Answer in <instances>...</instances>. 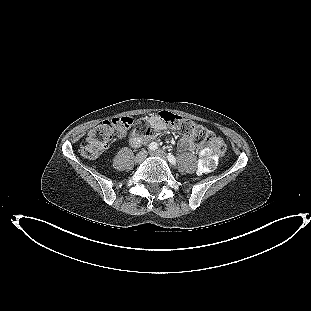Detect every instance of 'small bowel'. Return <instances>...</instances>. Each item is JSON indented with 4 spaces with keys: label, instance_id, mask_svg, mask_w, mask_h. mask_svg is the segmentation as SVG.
Instances as JSON below:
<instances>
[{
    "label": "small bowel",
    "instance_id": "1",
    "mask_svg": "<svg viewBox=\"0 0 311 311\" xmlns=\"http://www.w3.org/2000/svg\"><path fill=\"white\" fill-rule=\"evenodd\" d=\"M145 120L147 123L150 124L154 132H160L166 128V125L164 124V122L158 115H150L146 117ZM142 141H143V138L140 134H136L131 138V143L134 146L140 145ZM179 148L182 150L193 151L195 149V145L189 136H185L181 139L179 143Z\"/></svg>",
    "mask_w": 311,
    "mask_h": 311
}]
</instances>
